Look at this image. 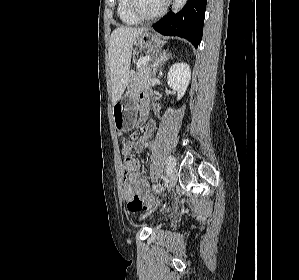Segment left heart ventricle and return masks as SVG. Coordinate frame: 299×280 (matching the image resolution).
<instances>
[{
	"label": "left heart ventricle",
	"mask_w": 299,
	"mask_h": 280,
	"mask_svg": "<svg viewBox=\"0 0 299 280\" xmlns=\"http://www.w3.org/2000/svg\"><path fill=\"white\" fill-rule=\"evenodd\" d=\"M165 0H138V7L145 15H152L158 12Z\"/></svg>",
	"instance_id": "obj_1"
}]
</instances>
